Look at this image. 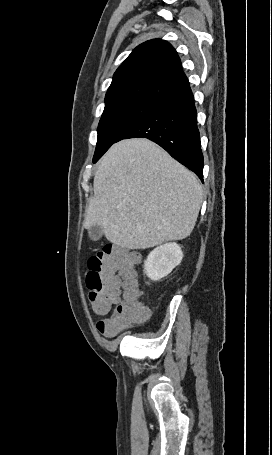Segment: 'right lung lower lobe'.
<instances>
[{"label":"right lung lower lobe","instance_id":"1","mask_svg":"<svg viewBox=\"0 0 272 455\" xmlns=\"http://www.w3.org/2000/svg\"><path fill=\"white\" fill-rule=\"evenodd\" d=\"M136 137L148 138L160 145L203 182V154L191 89L164 102L126 130L115 142Z\"/></svg>","mask_w":272,"mask_h":455}]
</instances>
